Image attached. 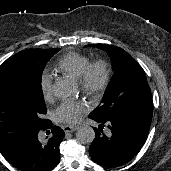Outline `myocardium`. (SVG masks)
Returning <instances> with one entry per match:
<instances>
[{
  "mask_svg": "<svg viewBox=\"0 0 171 171\" xmlns=\"http://www.w3.org/2000/svg\"><path fill=\"white\" fill-rule=\"evenodd\" d=\"M110 81V69L103 60L90 62L79 78L81 89L90 95L103 92Z\"/></svg>",
  "mask_w": 171,
  "mask_h": 171,
  "instance_id": "1",
  "label": "myocardium"
}]
</instances>
